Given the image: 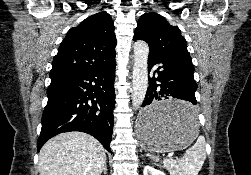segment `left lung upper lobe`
Masks as SVG:
<instances>
[{
  "label": "left lung upper lobe",
  "mask_w": 251,
  "mask_h": 175,
  "mask_svg": "<svg viewBox=\"0 0 251 175\" xmlns=\"http://www.w3.org/2000/svg\"><path fill=\"white\" fill-rule=\"evenodd\" d=\"M137 39L148 43L150 53L194 68L180 29L170 25L163 16L152 12L141 15L134 33V40Z\"/></svg>",
  "instance_id": "1"
}]
</instances>
